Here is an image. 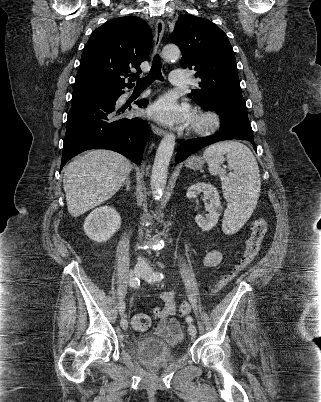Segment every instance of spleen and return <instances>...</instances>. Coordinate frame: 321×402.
<instances>
[{
	"mask_svg": "<svg viewBox=\"0 0 321 402\" xmlns=\"http://www.w3.org/2000/svg\"><path fill=\"white\" fill-rule=\"evenodd\" d=\"M226 155V158L224 157ZM209 172L221 180L222 192L227 201L223 217V231L235 233L254 211L261 190V178L257 161L251 150L237 141H223L207 147L203 154ZM227 160L229 175L221 168Z\"/></svg>",
	"mask_w": 321,
	"mask_h": 402,
	"instance_id": "spleen-1",
	"label": "spleen"
}]
</instances>
